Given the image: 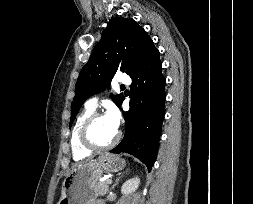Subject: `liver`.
<instances>
[{
  "instance_id": "liver-1",
  "label": "liver",
  "mask_w": 253,
  "mask_h": 204,
  "mask_svg": "<svg viewBox=\"0 0 253 204\" xmlns=\"http://www.w3.org/2000/svg\"><path fill=\"white\" fill-rule=\"evenodd\" d=\"M89 161H92V160L90 159ZM89 161H88V162H89ZM81 164H84V162H83V163L76 164V165H74V167H77V166H79V165H81Z\"/></svg>"
}]
</instances>
